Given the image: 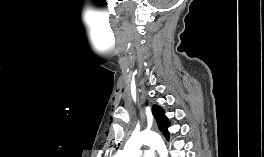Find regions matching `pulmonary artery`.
Segmentation results:
<instances>
[{"mask_svg":"<svg viewBox=\"0 0 264 157\" xmlns=\"http://www.w3.org/2000/svg\"><path fill=\"white\" fill-rule=\"evenodd\" d=\"M143 157H154V153L152 150L144 151Z\"/></svg>","mask_w":264,"mask_h":157,"instance_id":"1","label":"pulmonary artery"}]
</instances>
